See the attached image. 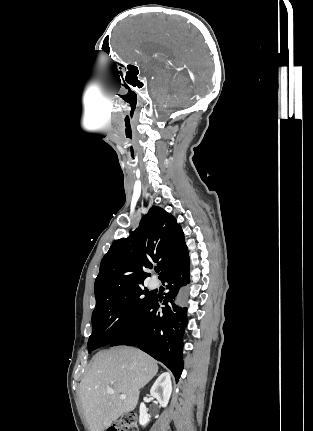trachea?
I'll return each instance as SVG.
<instances>
[{
    "label": "trachea",
    "mask_w": 313,
    "mask_h": 431,
    "mask_svg": "<svg viewBox=\"0 0 313 431\" xmlns=\"http://www.w3.org/2000/svg\"><path fill=\"white\" fill-rule=\"evenodd\" d=\"M155 270H156V272H159V271H160V268H156Z\"/></svg>",
    "instance_id": "3493384b"
}]
</instances>
